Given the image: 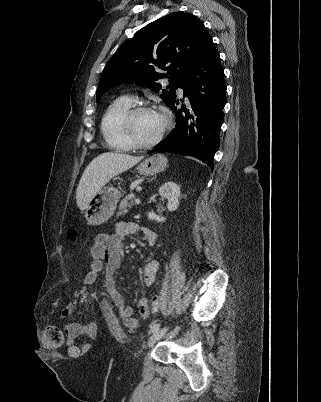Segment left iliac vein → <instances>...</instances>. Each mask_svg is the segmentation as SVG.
<instances>
[{
	"label": "left iliac vein",
	"instance_id": "4c4485c4",
	"mask_svg": "<svg viewBox=\"0 0 321 402\" xmlns=\"http://www.w3.org/2000/svg\"><path fill=\"white\" fill-rule=\"evenodd\" d=\"M168 329L169 327L165 326L161 329L154 331L147 342V347H152L157 341H159L162 337H164Z\"/></svg>",
	"mask_w": 321,
	"mask_h": 402
}]
</instances>
